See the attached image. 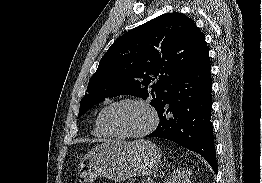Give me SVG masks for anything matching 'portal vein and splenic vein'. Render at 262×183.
Wrapping results in <instances>:
<instances>
[{
  "instance_id": "portal-vein-and-splenic-vein-1",
  "label": "portal vein and splenic vein",
  "mask_w": 262,
  "mask_h": 183,
  "mask_svg": "<svg viewBox=\"0 0 262 183\" xmlns=\"http://www.w3.org/2000/svg\"><path fill=\"white\" fill-rule=\"evenodd\" d=\"M150 183H153V181H152V180H150Z\"/></svg>"
}]
</instances>
